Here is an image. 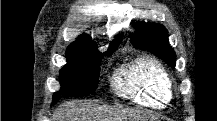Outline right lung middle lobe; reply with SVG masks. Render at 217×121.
I'll use <instances>...</instances> for the list:
<instances>
[{"label":"right lung middle lobe","mask_w":217,"mask_h":121,"mask_svg":"<svg viewBox=\"0 0 217 121\" xmlns=\"http://www.w3.org/2000/svg\"><path fill=\"white\" fill-rule=\"evenodd\" d=\"M116 49L100 53L94 45L67 49V64L61 69L60 91L53 95L52 105L61 97H82L94 92L98 85L100 60Z\"/></svg>","instance_id":"right-lung-middle-lobe-1"}]
</instances>
